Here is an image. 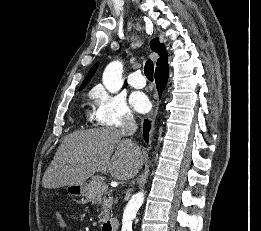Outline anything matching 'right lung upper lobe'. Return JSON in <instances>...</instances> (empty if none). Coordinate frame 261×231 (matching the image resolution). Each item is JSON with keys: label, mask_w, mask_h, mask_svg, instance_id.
<instances>
[{"label": "right lung upper lobe", "mask_w": 261, "mask_h": 231, "mask_svg": "<svg viewBox=\"0 0 261 231\" xmlns=\"http://www.w3.org/2000/svg\"><path fill=\"white\" fill-rule=\"evenodd\" d=\"M151 49L154 52H157L159 54V56H160V58L157 60V68H156V70H159V69H161L164 66H167L168 65V63H167V51H166L164 45L160 44L158 39H154V40L151 41ZM97 67H98V63H96L90 69V71L88 72L85 80L81 84L79 90L83 89L89 83V81L93 77L94 73L96 72Z\"/></svg>", "instance_id": "obj_1"}]
</instances>
